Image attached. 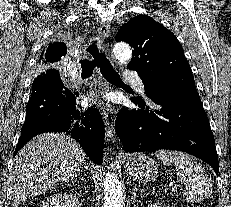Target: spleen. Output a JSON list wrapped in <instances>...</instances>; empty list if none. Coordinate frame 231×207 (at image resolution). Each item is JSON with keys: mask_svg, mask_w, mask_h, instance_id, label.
Segmentation results:
<instances>
[{"mask_svg": "<svg viewBox=\"0 0 231 207\" xmlns=\"http://www.w3.org/2000/svg\"><path fill=\"white\" fill-rule=\"evenodd\" d=\"M156 158L165 165H172L176 169L178 180L184 184V197L188 202H201L213 192L211 179L204 168L192 156L179 151L159 150Z\"/></svg>", "mask_w": 231, "mask_h": 207, "instance_id": "obj_1", "label": "spleen"}]
</instances>
